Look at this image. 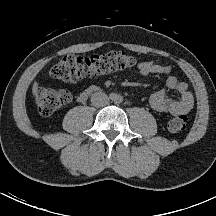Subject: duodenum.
Instances as JSON below:
<instances>
[{
    "label": "duodenum",
    "mask_w": 216,
    "mask_h": 216,
    "mask_svg": "<svg viewBox=\"0 0 216 216\" xmlns=\"http://www.w3.org/2000/svg\"><path fill=\"white\" fill-rule=\"evenodd\" d=\"M96 91H97V88L92 87V88L88 89L86 93H83L82 95L83 96H88L89 94L94 93Z\"/></svg>",
    "instance_id": "obj_1"
}]
</instances>
